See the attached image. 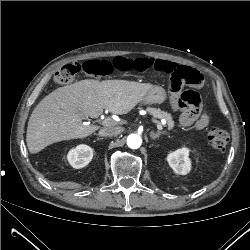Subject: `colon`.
<instances>
[{
	"mask_svg": "<svg viewBox=\"0 0 250 250\" xmlns=\"http://www.w3.org/2000/svg\"><path fill=\"white\" fill-rule=\"evenodd\" d=\"M114 69L121 71H130L135 69V60L118 57L113 60H90L83 65L79 63H70L60 67L54 74V81L59 85H67L74 81L76 75L83 70L90 76H106L112 73ZM171 86L180 88L182 85L189 86L181 95V102L191 107H197L201 104L200 94L195 90L202 82L200 73L191 67L180 66L171 73ZM209 144L215 150H222L229 141L226 130L220 127H212L207 133Z\"/></svg>",
	"mask_w": 250,
	"mask_h": 250,
	"instance_id": "1",
	"label": "colon"
}]
</instances>
